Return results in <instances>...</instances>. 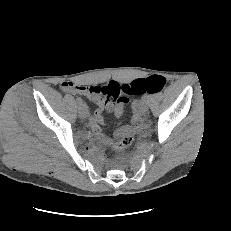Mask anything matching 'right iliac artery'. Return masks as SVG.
Returning <instances> with one entry per match:
<instances>
[{
    "label": "right iliac artery",
    "mask_w": 231,
    "mask_h": 231,
    "mask_svg": "<svg viewBox=\"0 0 231 231\" xmlns=\"http://www.w3.org/2000/svg\"><path fill=\"white\" fill-rule=\"evenodd\" d=\"M76 102L80 105V104H82V99L80 97H77Z\"/></svg>",
    "instance_id": "82829eb1"
}]
</instances>
